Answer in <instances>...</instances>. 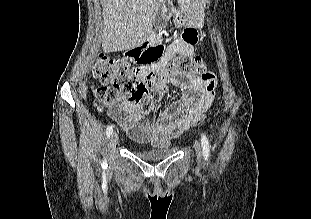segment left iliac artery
<instances>
[{
  "label": "left iliac artery",
  "instance_id": "44dca946",
  "mask_svg": "<svg viewBox=\"0 0 311 219\" xmlns=\"http://www.w3.org/2000/svg\"><path fill=\"white\" fill-rule=\"evenodd\" d=\"M201 142H202V151H203L204 158L205 160H208L209 152H210V144L204 133L201 134Z\"/></svg>",
  "mask_w": 311,
  "mask_h": 219
}]
</instances>
